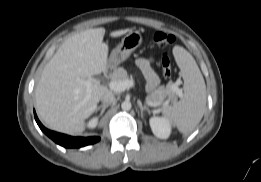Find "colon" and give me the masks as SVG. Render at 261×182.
Masks as SVG:
<instances>
[{"label":"colon","mask_w":261,"mask_h":182,"mask_svg":"<svg viewBox=\"0 0 261 182\" xmlns=\"http://www.w3.org/2000/svg\"><path fill=\"white\" fill-rule=\"evenodd\" d=\"M175 38L172 34L164 31H156L153 34L154 43L161 48L168 47L173 44ZM160 66L165 78L169 79L172 75L171 61L167 54H163L160 60Z\"/></svg>","instance_id":"colon-1"}]
</instances>
